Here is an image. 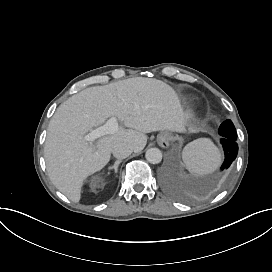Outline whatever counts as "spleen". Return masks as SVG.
Wrapping results in <instances>:
<instances>
[{"label": "spleen", "mask_w": 272, "mask_h": 272, "mask_svg": "<svg viewBox=\"0 0 272 272\" xmlns=\"http://www.w3.org/2000/svg\"><path fill=\"white\" fill-rule=\"evenodd\" d=\"M182 159L186 169L195 175L212 173L222 162L220 150L209 138H199L187 144Z\"/></svg>", "instance_id": "obj_1"}]
</instances>
